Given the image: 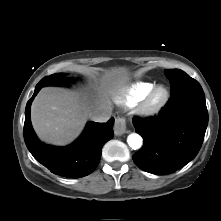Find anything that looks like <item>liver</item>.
Segmentation results:
<instances>
[{"instance_id":"obj_1","label":"liver","mask_w":221,"mask_h":221,"mask_svg":"<svg viewBox=\"0 0 221 221\" xmlns=\"http://www.w3.org/2000/svg\"><path fill=\"white\" fill-rule=\"evenodd\" d=\"M127 80L124 68L107 72L101 79L99 96L92 104L82 101L73 92L43 88L31 106V122L37 136L52 145L64 146L72 142L82 131L88 116L97 108L107 107V96L113 95Z\"/></svg>"}]
</instances>
